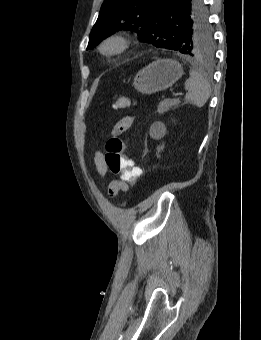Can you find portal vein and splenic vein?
I'll use <instances>...</instances> for the list:
<instances>
[{
	"mask_svg": "<svg viewBox=\"0 0 261 340\" xmlns=\"http://www.w3.org/2000/svg\"><path fill=\"white\" fill-rule=\"evenodd\" d=\"M181 95H182V93H178V92L173 93V96H175V97H179V96H181Z\"/></svg>",
	"mask_w": 261,
	"mask_h": 340,
	"instance_id": "18ae733b",
	"label": "portal vein and splenic vein"
}]
</instances>
